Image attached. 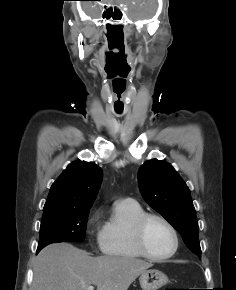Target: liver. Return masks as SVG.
Segmentation results:
<instances>
[{"mask_svg":"<svg viewBox=\"0 0 236 290\" xmlns=\"http://www.w3.org/2000/svg\"><path fill=\"white\" fill-rule=\"evenodd\" d=\"M151 263L131 257H91L69 243H53L37 255L30 290H127Z\"/></svg>","mask_w":236,"mask_h":290,"instance_id":"liver-1","label":"liver"}]
</instances>
